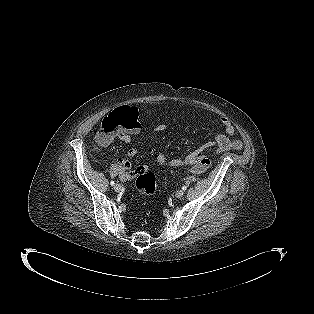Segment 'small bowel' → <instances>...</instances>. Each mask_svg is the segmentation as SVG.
<instances>
[{
    "mask_svg": "<svg viewBox=\"0 0 314 314\" xmlns=\"http://www.w3.org/2000/svg\"><path fill=\"white\" fill-rule=\"evenodd\" d=\"M221 125L224 128V132L218 133L215 136L214 141H209L205 143L204 145L198 147L196 150H194L192 153H190L185 158H173L171 159L168 164L172 167H181V166H192L194 165L202 155V152L210 147L214 148V152L219 154L222 152H226L229 150H239L242 148V144L240 141L235 140L232 138V135L234 133V127L231 123V121L227 118L221 119ZM167 129V125L164 123H159L155 126L154 130L156 132H162ZM140 132V127L129 131V132H121L117 134L115 137H111L105 142L97 143L100 147H107L109 146L115 138L119 139L122 142L129 143L132 139L133 135H136ZM138 153L137 148L132 147L130 148L126 153V158H120L118 159V164L121 168L120 175L124 180H129L134 178L137 175V169H132L130 159L136 156ZM157 162L161 165H164L167 163V159L163 153H159L157 155ZM147 168L146 166H144Z\"/></svg>",
    "mask_w": 314,
    "mask_h": 314,
    "instance_id": "1",
    "label": "small bowel"
}]
</instances>
